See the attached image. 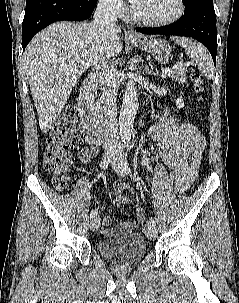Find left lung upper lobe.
<instances>
[{"label":"left lung upper lobe","mask_w":239,"mask_h":303,"mask_svg":"<svg viewBox=\"0 0 239 303\" xmlns=\"http://www.w3.org/2000/svg\"><path fill=\"white\" fill-rule=\"evenodd\" d=\"M201 3L213 4V0H184L185 11L199 6Z\"/></svg>","instance_id":"obj_1"}]
</instances>
